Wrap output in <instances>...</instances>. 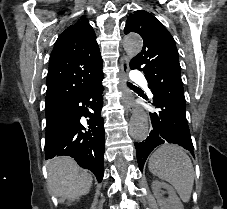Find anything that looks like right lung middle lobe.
<instances>
[{
    "label": "right lung middle lobe",
    "instance_id": "obj_1",
    "mask_svg": "<svg viewBox=\"0 0 227 209\" xmlns=\"http://www.w3.org/2000/svg\"><path fill=\"white\" fill-rule=\"evenodd\" d=\"M45 109H46L45 114H46V118H47V117H49L52 114V112L54 111L55 107L45 108Z\"/></svg>",
    "mask_w": 227,
    "mask_h": 209
}]
</instances>
